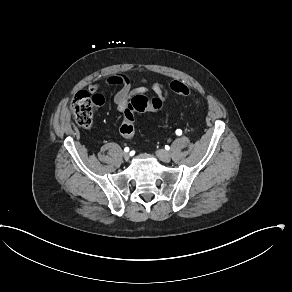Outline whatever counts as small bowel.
I'll use <instances>...</instances> for the list:
<instances>
[{
	"instance_id": "c3829d8e",
	"label": "small bowel",
	"mask_w": 292,
	"mask_h": 292,
	"mask_svg": "<svg viewBox=\"0 0 292 292\" xmlns=\"http://www.w3.org/2000/svg\"><path fill=\"white\" fill-rule=\"evenodd\" d=\"M136 82L140 84V86L132 89L128 77L121 73L112 74L108 76L104 81V84L106 85L119 87V90L114 96V103L116 105L117 111H119V114L115 120V125H119L118 121L120 120V117H122L123 110L127 106L129 100L137 94H144L148 92V88L145 86V84L147 83V80L145 78H139L136 80ZM99 87H100L99 83H94L89 86V90L91 92H94L98 90ZM151 90L155 93V95L158 98L161 99L162 103H164L167 100L168 92L163 85L154 84L152 85ZM102 129L106 130V126H102ZM109 132H112V129H109ZM113 133L120 134L119 128L113 130Z\"/></svg>"
}]
</instances>
